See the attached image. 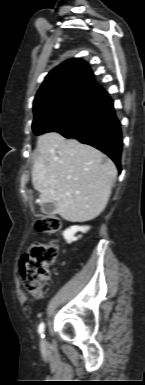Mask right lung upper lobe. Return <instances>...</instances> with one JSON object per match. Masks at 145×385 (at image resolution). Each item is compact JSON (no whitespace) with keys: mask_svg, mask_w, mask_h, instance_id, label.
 Listing matches in <instances>:
<instances>
[{"mask_svg":"<svg viewBox=\"0 0 145 385\" xmlns=\"http://www.w3.org/2000/svg\"><path fill=\"white\" fill-rule=\"evenodd\" d=\"M74 90L104 92L94 81L87 63L76 58L65 61L46 76L33 106L35 108L59 94Z\"/></svg>","mask_w":145,"mask_h":385,"instance_id":"cb5924a9","label":"right lung upper lobe"}]
</instances>
